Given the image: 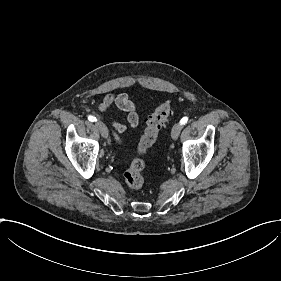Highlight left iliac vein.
Segmentation results:
<instances>
[{
    "mask_svg": "<svg viewBox=\"0 0 281 281\" xmlns=\"http://www.w3.org/2000/svg\"><path fill=\"white\" fill-rule=\"evenodd\" d=\"M182 128H183V124L181 122L175 123L171 129L172 137L175 139L178 138Z\"/></svg>",
    "mask_w": 281,
    "mask_h": 281,
    "instance_id": "4c4485c4",
    "label": "left iliac vein"
}]
</instances>
